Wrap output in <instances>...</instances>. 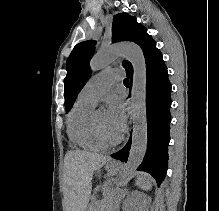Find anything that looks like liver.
<instances>
[{
	"mask_svg": "<svg viewBox=\"0 0 219 211\" xmlns=\"http://www.w3.org/2000/svg\"><path fill=\"white\" fill-rule=\"evenodd\" d=\"M110 155L70 149L64 159V197L66 211H84L92 191V177Z\"/></svg>",
	"mask_w": 219,
	"mask_h": 211,
	"instance_id": "6515ba94",
	"label": "liver"
}]
</instances>
